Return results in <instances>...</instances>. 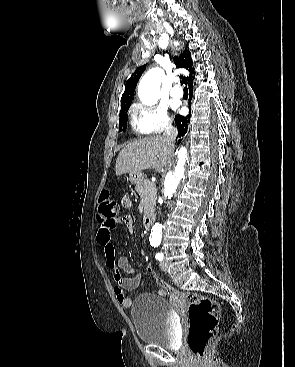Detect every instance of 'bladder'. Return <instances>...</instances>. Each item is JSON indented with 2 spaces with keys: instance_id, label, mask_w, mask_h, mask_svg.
<instances>
[{
  "instance_id": "bladder-1",
  "label": "bladder",
  "mask_w": 295,
  "mask_h": 367,
  "mask_svg": "<svg viewBox=\"0 0 295 367\" xmlns=\"http://www.w3.org/2000/svg\"><path fill=\"white\" fill-rule=\"evenodd\" d=\"M131 317L142 342L168 349L175 346L176 323L172 307L164 297L153 293L138 296L132 303Z\"/></svg>"
}]
</instances>
